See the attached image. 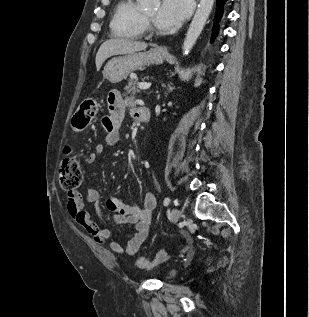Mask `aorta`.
<instances>
[{
  "mask_svg": "<svg viewBox=\"0 0 309 317\" xmlns=\"http://www.w3.org/2000/svg\"><path fill=\"white\" fill-rule=\"evenodd\" d=\"M142 8H150L159 3L160 0H138ZM215 0H200L195 15L183 43V53L187 55L195 45L205 23L212 11Z\"/></svg>",
  "mask_w": 309,
  "mask_h": 317,
  "instance_id": "aorta-1",
  "label": "aorta"
}]
</instances>
